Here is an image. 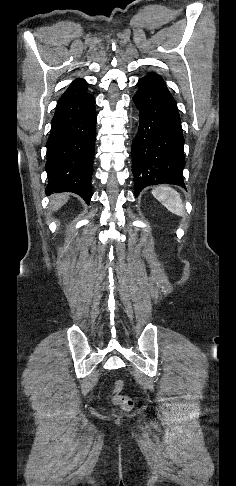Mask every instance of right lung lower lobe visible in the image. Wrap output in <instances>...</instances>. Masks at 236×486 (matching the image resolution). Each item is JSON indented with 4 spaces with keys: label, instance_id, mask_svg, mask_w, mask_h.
<instances>
[{
    "label": "right lung lower lobe",
    "instance_id": "obj_1",
    "mask_svg": "<svg viewBox=\"0 0 236 486\" xmlns=\"http://www.w3.org/2000/svg\"><path fill=\"white\" fill-rule=\"evenodd\" d=\"M94 105L95 98L89 93L58 102L47 140V194L73 192L89 204L96 137Z\"/></svg>",
    "mask_w": 236,
    "mask_h": 486
}]
</instances>
